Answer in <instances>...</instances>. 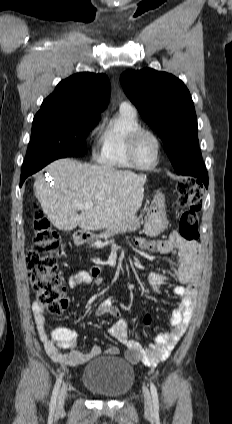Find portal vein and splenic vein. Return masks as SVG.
I'll list each match as a JSON object with an SVG mask.
<instances>
[{"label": "portal vein and splenic vein", "mask_w": 232, "mask_h": 424, "mask_svg": "<svg viewBox=\"0 0 232 424\" xmlns=\"http://www.w3.org/2000/svg\"><path fill=\"white\" fill-rule=\"evenodd\" d=\"M93 205H94L93 202H82V203H77L76 207L79 210H87L93 207Z\"/></svg>", "instance_id": "obj_1"}]
</instances>
